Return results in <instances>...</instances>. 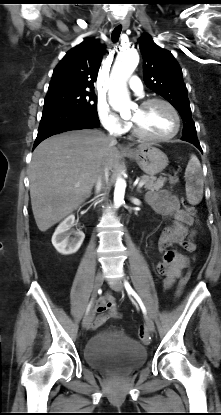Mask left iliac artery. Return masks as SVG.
Wrapping results in <instances>:
<instances>
[{"mask_svg": "<svg viewBox=\"0 0 221 415\" xmlns=\"http://www.w3.org/2000/svg\"><path fill=\"white\" fill-rule=\"evenodd\" d=\"M124 286H125V289H126V291H127V293L129 294V295H132L136 300H137V302L139 303V305H140V307H141V309H142V311H143V313L144 314H146L147 312H146V308H145V305H144V303L142 302V300H141V298L139 297V295L134 291V289L131 287V285H130V283L128 282V281H124Z\"/></svg>", "mask_w": 221, "mask_h": 415, "instance_id": "obj_1", "label": "left iliac artery"}]
</instances>
